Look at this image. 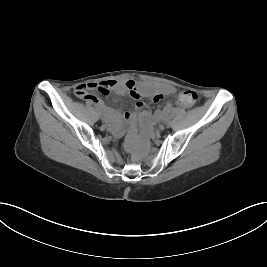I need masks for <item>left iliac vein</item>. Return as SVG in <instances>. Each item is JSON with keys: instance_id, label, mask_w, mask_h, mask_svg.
I'll return each mask as SVG.
<instances>
[{"instance_id": "obj_1", "label": "left iliac vein", "mask_w": 267, "mask_h": 267, "mask_svg": "<svg viewBox=\"0 0 267 267\" xmlns=\"http://www.w3.org/2000/svg\"><path fill=\"white\" fill-rule=\"evenodd\" d=\"M162 126L167 127L168 123L165 122V123L162 124Z\"/></svg>"}]
</instances>
